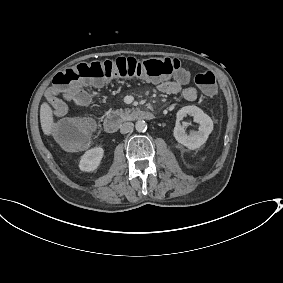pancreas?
<instances>
[{
  "instance_id": "1",
  "label": "pancreas",
  "mask_w": 283,
  "mask_h": 283,
  "mask_svg": "<svg viewBox=\"0 0 283 283\" xmlns=\"http://www.w3.org/2000/svg\"><path fill=\"white\" fill-rule=\"evenodd\" d=\"M116 112L120 115V117L124 121L132 120L133 115H134V111H132L129 108H126L125 110L119 109V110H116Z\"/></svg>"
}]
</instances>
